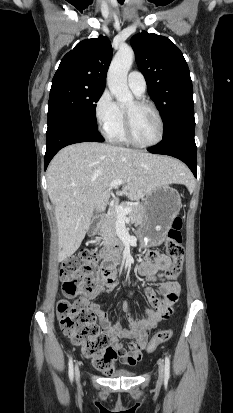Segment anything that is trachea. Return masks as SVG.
<instances>
[{"instance_id":"trachea-1","label":"trachea","mask_w":233,"mask_h":413,"mask_svg":"<svg viewBox=\"0 0 233 413\" xmlns=\"http://www.w3.org/2000/svg\"><path fill=\"white\" fill-rule=\"evenodd\" d=\"M118 2L121 3V4H123V3H124V0H118Z\"/></svg>"}]
</instances>
